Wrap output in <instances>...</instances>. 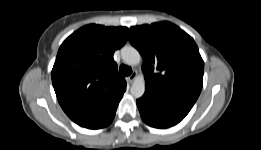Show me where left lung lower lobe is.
I'll return each mask as SVG.
<instances>
[{"mask_svg":"<svg viewBox=\"0 0 261 150\" xmlns=\"http://www.w3.org/2000/svg\"><path fill=\"white\" fill-rule=\"evenodd\" d=\"M137 106L146 124L156 128H168L179 123L193 104L175 97L145 92L137 100Z\"/></svg>","mask_w":261,"mask_h":150,"instance_id":"obj_1","label":"left lung lower lobe"}]
</instances>
